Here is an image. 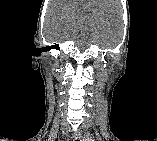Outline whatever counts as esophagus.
Listing matches in <instances>:
<instances>
[{
    "label": "esophagus",
    "mask_w": 157,
    "mask_h": 141,
    "mask_svg": "<svg viewBox=\"0 0 157 141\" xmlns=\"http://www.w3.org/2000/svg\"><path fill=\"white\" fill-rule=\"evenodd\" d=\"M82 137L81 132L80 131H75L73 134V139L74 140H80Z\"/></svg>",
    "instance_id": "1"
}]
</instances>
